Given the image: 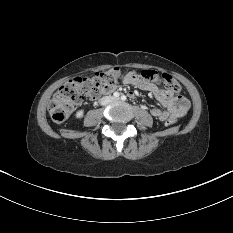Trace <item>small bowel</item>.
Returning <instances> with one entry per match:
<instances>
[{
    "mask_svg": "<svg viewBox=\"0 0 233 233\" xmlns=\"http://www.w3.org/2000/svg\"><path fill=\"white\" fill-rule=\"evenodd\" d=\"M120 82L151 92L164 109L152 107L149 112L160 121H166L168 119L176 120L184 116L190 107V103L185 97L175 95L165 88L142 80L136 71H126L124 75L120 77Z\"/></svg>",
    "mask_w": 233,
    "mask_h": 233,
    "instance_id": "c3829d8e",
    "label": "small bowel"
}]
</instances>
